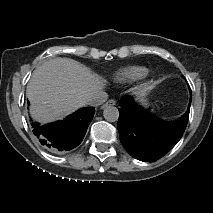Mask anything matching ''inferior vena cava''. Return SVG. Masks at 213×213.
Segmentation results:
<instances>
[{
  "instance_id": "602c4592",
  "label": "inferior vena cava",
  "mask_w": 213,
  "mask_h": 213,
  "mask_svg": "<svg viewBox=\"0 0 213 213\" xmlns=\"http://www.w3.org/2000/svg\"><path fill=\"white\" fill-rule=\"evenodd\" d=\"M108 99V94L105 91H97L85 100L86 105L97 107L103 104Z\"/></svg>"
}]
</instances>
